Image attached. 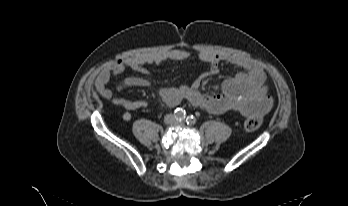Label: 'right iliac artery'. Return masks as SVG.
Masks as SVG:
<instances>
[{
	"label": "right iliac artery",
	"mask_w": 348,
	"mask_h": 206,
	"mask_svg": "<svg viewBox=\"0 0 348 206\" xmlns=\"http://www.w3.org/2000/svg\"><path fill=\"white\" fill-rule=\"evenodd\" d=\"M174 115H175V118H176L177 121H182V120H184L186 118L185 110L180 109V108H177L174 111Z\"/></svg>",
	"instance_id": "82829eb1"
}]
</instances>
